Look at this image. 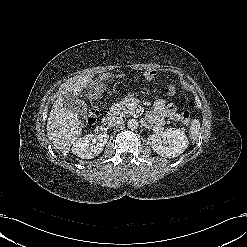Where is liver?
Here are the masks:
<instances>
[{
    "label": "liver",
    "mask_w": 247,
    "mask_h": 247,
    "mask_svg": "<svg viewBox=\"0 0 247 247\" xmlns=\"http://www.w3.org/2000/svg\"><path fill=\"white\" fill-rule=\"evenodd\" d=\"M94 74L76 76L62 85L47 121V135L64 156L68 155L70 146L80 136L84 123L79 119V113L67 108L64 104V95L67 92H79L91 82ZM125 74L116 75L122 77ZM112 78L114 75L111 76Z\"/></svg>",
    "instance_id": "6515ba94"
}]
</instances>
